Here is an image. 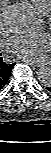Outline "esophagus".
<instances>
[{"mask_svg": "<svg viewBox=\"0 0 51 153\" xmlns=\"http://www.w3.org/2000/svg\"><path fill=\"white\" fill-rule=\"evenodd\" d=\"M24 62L28 63L31 66H35V67H39L41 65V63H36L33 61H28V60H24Z\"/></svg>", "mask_w": 51, "mask_h": 153, "instance_id": "34e87169", "label": "esophagus"}]
</instances>
